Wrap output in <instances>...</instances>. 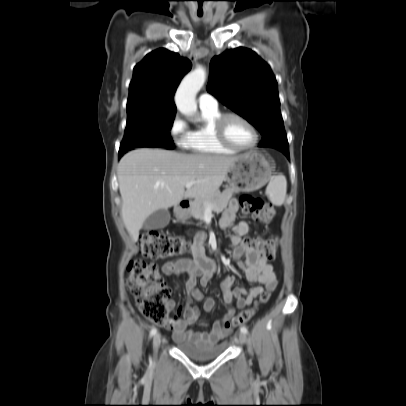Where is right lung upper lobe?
<instances>
[{
  "instance_id": "right-lung-upper-lobe-1",
  "label": "right lung upper lobe",
  "mask_w": 406,
  "mask_h": 406,
  "mask_svg": "<svg viewBox=\"0 0 406 406\" xmlns=\"http://www.w3.org/2000/svg\"><path fill=\"white\" fill-rule=\"evenodd\" d=\"M190 67L187 58L165 48L147 54L134 68L127 111L176 113L173 96Z\"/></svg>"
}]
</instances>
